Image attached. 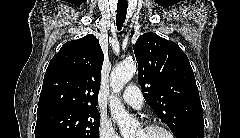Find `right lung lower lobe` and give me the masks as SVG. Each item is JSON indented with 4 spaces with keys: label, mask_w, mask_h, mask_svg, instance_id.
<instances>
[{
    "label": "right lung lower lobe",
    "mask_w": 240,
    "mask_h": 138,
    "mask_svg": "<svg viewBox=\"0 0 240 138\" xmlns=\"http://www.w3.org/2000/svg\"><path fill=\"white\" fill-rule=\"evenodd\" d=\"M35 138H66V137L61 136V135H42V136H38Z\"/></svg>",
    "instance_id": "98d812e1"
}]
</instances>
